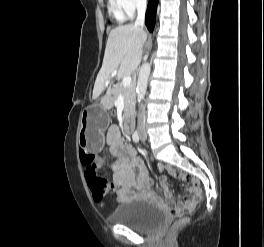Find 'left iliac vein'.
<instances>
[{"label":"left iliac vein","instance_id":"obj_1","mask_svg":"<svg viewBox=\"0 0 264 247\" xmlns=\"http://www.w3.org/2000/svg\"><path fill=\"white\" fill-rule=\"evenodd\" d=\"M146 138H147L146 134H145V133H143V134L141 135V140H142V141H145V140H146Z\"/></svg>","mask_w":264,"mask_h":247}]
</instances>
